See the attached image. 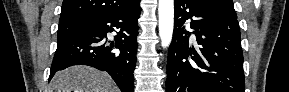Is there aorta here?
Returning a JSON list of instances; mask_svg holds the SVG:
<instances>
[{
  "instance_id": "obj_1",
  "label": "aorta",
  "mask_w": 289,
  "mask_h": 92,
  "mask_svg": "<svg viewBox=\"0 0 289 92\" xmlns=\"http://www.w3.org/2000/svg\"><path fill=\"white\" fill-rule=\"evenodd\" d=\"M159 17V36L163 48L169 47L172 41L174 28V1L159 0L158 5Z\"/></svg>"
}]
</instances>
